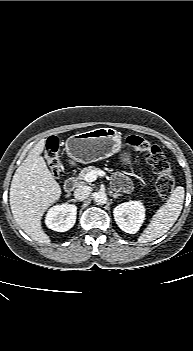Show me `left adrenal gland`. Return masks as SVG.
<instances>
[{
  "label": "left adrenal gland",
  "mask_w": 193,
  "mask_h": 351,
  "mask_svg": "<svg viewBox=\"0 0 193 351\" xmlns=\"http://www.w3.org/2000/svg\"><path fill=\"white\" fill-rule=\"evenodd\" d=\"M111 193V196L116 199L118 198L119 196H121V194H118V193H113V192H110Z\"/></svg>",
  "instance_id": "1"
}]
</instances>
